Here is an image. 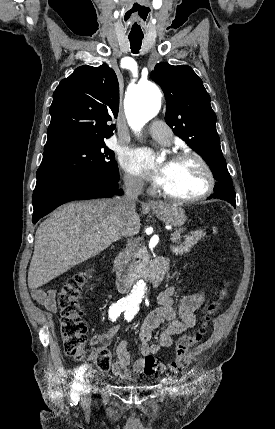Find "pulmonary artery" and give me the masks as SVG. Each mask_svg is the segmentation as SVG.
I'll list each match as a JSON object with an SVG mask.
<instances>
[{"label":"pulmonary artery","mask_w":275,"mask_h":429,"mask_svg":"<svg viewBox=\"0 0 275 429\" xmlns=\"http://www.w3.org/2000/svg\"><path fill=\"white\" fill-rule=\"evenodd\" d=\"M151 136L161 144L168 145L172 140L171 131L164 125L153 123L149 129Z\"/></svg>","instance_id":"e3ab8cb5"}]
</instances>
